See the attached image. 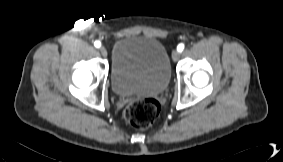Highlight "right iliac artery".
I'll return each mask as SVG.
<instances>
[{"label":"right iliac artery","mask_w":283,"mask_h":162,"mask_svg":"<svg viewBox=\"0 0 283 162\" xmlns=\"http://www.w3.org/2000/svg\"><path fill=\"white\" fill-rule=\"evenodd\" d=\"M94 46H95L96 48H99V47L101 46V43H100L99 41H95V42H94Z\"/></svg>","instance_id":"82829eb1"}]
</instances>
